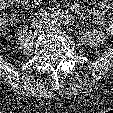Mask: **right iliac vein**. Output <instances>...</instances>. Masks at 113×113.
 Here are the masks:
<instances>
[{
  "label": "right iliac vein",
  "instance_id": "1",
  "mask_svg": "<svg viewBox=\"0 0 113 113\" xmlns=\"http://www.w3.org/2000/svg\"><path fill=\"white\" fill-rule=\"evenodd\" d=\"M47 28V26L46 25H44V29H46Z\"/></svg>",
  "mask_w": 113,
  "mask_h": 113
}]
</instances>
